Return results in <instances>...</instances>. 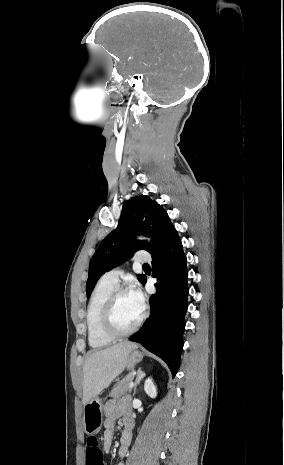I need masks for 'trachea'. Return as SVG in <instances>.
I'll use <instances>...</instances> for the list:
<instances>
[{"mask_svg":"<svg viewBox=\"0 0 284 465\" xmlns=\"http://www.w3.org/2000/svg\"><path fill=\"white\" fill-rule=\"evenodd\" d=\"M143 269H148V270H150V266L148 265V263H144Z\"/></svg>","mask_w":284,"mask_h":465,"instance_id":"3493384b","label":"trachea"}]
</instances>
